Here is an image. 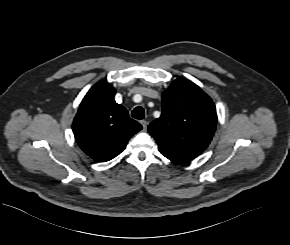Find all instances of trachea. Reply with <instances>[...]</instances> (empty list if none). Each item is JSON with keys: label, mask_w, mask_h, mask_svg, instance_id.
I'll use <instances>...</instances> for the list:
<instances>
[{"label": "trachea", "mask_w": 290, "mask_h": 245, "mask_svg": "<svg viewBox=\"0 0 290 245\" xmlns=\"http://www.w3.org/2000/svg\"><path fill=\"white\" fill-rule=\"evenodd\" d=\"M145 116V113H144V109L142 107H136L134 108V110L132 111V117L135 118V119H143Z\"/></svg>", "instance_id": "trachea-1"}]
</instances>
